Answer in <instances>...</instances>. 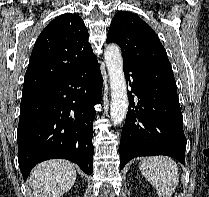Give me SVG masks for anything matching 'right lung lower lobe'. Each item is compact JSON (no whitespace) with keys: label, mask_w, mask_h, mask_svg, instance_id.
<instances>
[{"label":"right lung lower lobe","mask_w":209,"mask_h":197,"mask_svg":"<svg viewBox=\"0 0 209 197\" xmlns=\"http://www.w3.org/2000/svg\"><path fill=\"white\" fill-rule=\"evenodd\" d=\"M102 77L93 58L66 77L23 92L18 125V160L24 178L39 162L64 158L93 172L94 105Z\"/></svg>","instance_id":"obj_1"}]
</instances>
